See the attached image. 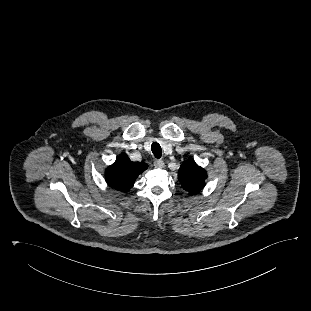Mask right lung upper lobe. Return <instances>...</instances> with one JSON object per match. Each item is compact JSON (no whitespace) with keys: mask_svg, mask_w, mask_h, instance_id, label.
<instances>
[{"mask_svg":"<svg viewBox=\"0 0 311 311\" xmlns=\"http://www.w3.org/2000/svg\"><path fill=\"white\" fill-rule=\"evenodd\" d=\"M148 168L144 162H132L127 154L122 153L114 164L105 171L107 184L116 190L128 192L136 178Z\"/></svg>","mask_w":311,"mask_h":311,"instance_id":"right-lung-upper-lobe-1","label":"right lung upper lobe"}]
</instances>
